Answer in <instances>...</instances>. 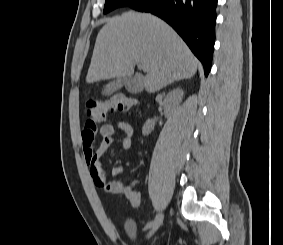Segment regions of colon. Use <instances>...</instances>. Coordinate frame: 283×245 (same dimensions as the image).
Instances as JSON below:
<instances>
[{
  "label": "colon",
  "instance_id": "obj_1",
  "mask_svg": "<svg viewBox=\"0 0 283 245\" xmlns=\"http://www.w3.org/2000/svg\"><path fill=\"white\" fill-rule=\"evenodd\" d=\"M135 105V100L129 97L117 95L106 99H90L87 102V118L90 122H101L108 112L125 113ZM133 207H140L142 198L133 186L125 185L124 193Z\"/></svg>",
  "mask_w": 283,
  "mask_h": 245
}]
</instances>
